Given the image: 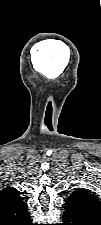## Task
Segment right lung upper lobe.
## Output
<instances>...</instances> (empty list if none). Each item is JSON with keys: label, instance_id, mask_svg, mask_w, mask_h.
<instances>
[{"label": "right lung upper lobe", "instance_id": "obj_1", "mask_svg": "<svg viewBox=\"0 0 101 225\" xmlns=\"http://www.w3.org/2000/svg\"><path fill=\"white\" fill-rule=\"evenodd\" d=\"M30 220L27 204L15 188L0 193V225H25Z\"/></svg>", "mask_w": 101, "mask_h": 225}]
</instances>
